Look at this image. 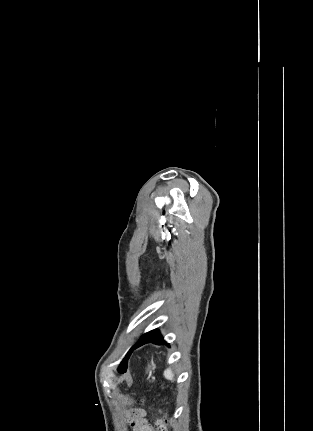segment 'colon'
<instances>
[{"instance_id":"colon-1","label":"colon","mask_w":313,"mask_h":431,"mask_svg":"<svg viewBox=\"0 0 313 431\" xmlns=\"http://www.w3.org/2000/svg\"><path fill=\"white\" fill-rule=\"evenodd\" d=\"M158 431H163L164 430V424L162 422L158 423Z\"/></svg>"}]
</instances>
